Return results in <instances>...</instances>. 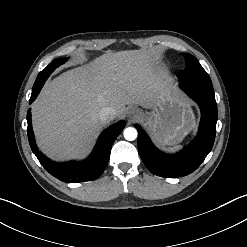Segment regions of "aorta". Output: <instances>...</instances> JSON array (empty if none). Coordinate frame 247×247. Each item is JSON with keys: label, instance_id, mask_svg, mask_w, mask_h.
Wrapping results in <instances>:
<instances>
[{"label": "aorta", "instance_id": "1", "mask_svg": "<svg viewBox=\"0 0 247 247\" xmlns=\"http://www.w3.org/2000/svg\"><path fill=\"white\" fill-rule=\"evenodd\" d=\"M124 138L128 141H133L137 138V130L133 127H127L123 132Z\"/></svg>", "mask_w": 247, "mask_h": 247}]
</instances>
